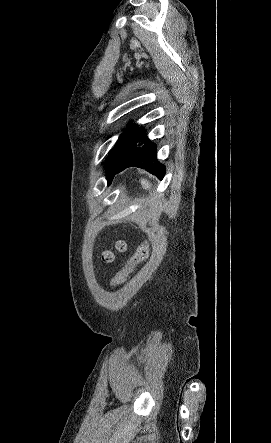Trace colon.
<instances>
[{
	"instance_id": "5ec220e1",
	"label": "colon",
	"mask_w": 271,
	"mask_h": 443,
	"mask_svg": "<svg viewBox=\"0 0 271 443\" xmlns=\"http://www.w3.org/2000/svg\"><path fill=\"white\" fill-rule=\"evenodd\" d=\"M117 251L122 252L126 249V243L124 241H118L115 244ZM150 252V246L147 241L142 242L136 249L135 253L128 259L124 268L116 275L112 280L111 286L118 287L126 282L131 273L135 270L137 265L145 261ZM114 259V253L107 250L103 253V260L105 262H112Z\"/></svg>"
}]
</instances>
